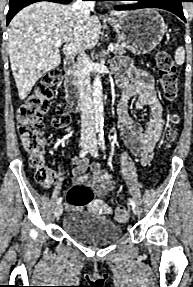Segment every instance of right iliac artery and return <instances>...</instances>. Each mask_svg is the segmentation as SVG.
Wrapping results in <instances>:
<instances>
[{
	"label": "right iliac artery",
	"mask_w": 193,
	"mask_h": 287,
	"mask_svg": "<svg viewBox=\"0 0 193 287\" xmlns=\"http://www.w3.org/2000/svg\"><path fill=\"white\" fill-rule=\"evenodd\" d=\"M88 153V149L85 148L84 150H82L80 152V158H84ZM62 202V197H60L58 200H57V204H60Z\"/></svg>",
	"instance_id": "1"
}]
</instances>
